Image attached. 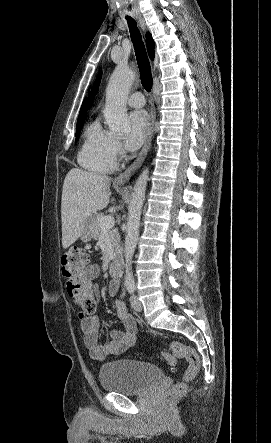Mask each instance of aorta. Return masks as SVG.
<instances>
[{
  "label": "aorta",
  "mask_w": 271,
  "mask_h": 443,
  "mask_svg": "<svg viewBox=\"0 0 271 443\" xmlns=\"http://www.w3.org/2000/svg\"><path fill=\"white\" fill-rule=\"evenodd\" d=\"M134 78L135 72L133 70L127 66H116L108 82L103 114L111 132H119V134L124 132L125 134L131 128L127 114V100ZM148 180L149 168H145L133 188L132 200L128 206L124 247L126 261L124 279L126 283H134L131 261L138 241L140 218Z\"/></svg>",
  "instance_id": "762f6f07"
}]
</instances>
